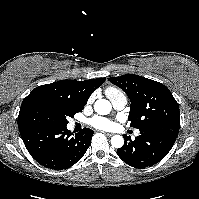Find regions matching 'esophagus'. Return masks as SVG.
I'll return each mask as SVG.
<instances>
[{"mask_svg": "<svg viewBox=\"0 0 199 199\" xmlns=\"http://www.w3.org/2000/svg\"><path fill=\"white\" fill-rule=\"evenodd\" d=\"M105 135H106L107 137H109V138L112 136L111 133H105Z\"/></svg>", "mask_w": 199, "mask_h": 199, "instance_id": "obj_1", "label": "esophagus"}]
</instances>
